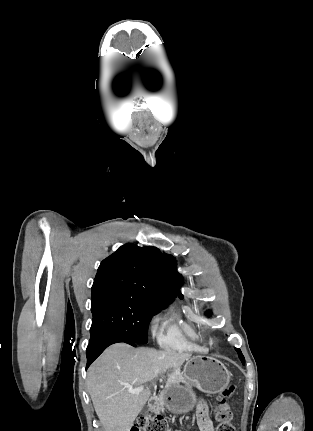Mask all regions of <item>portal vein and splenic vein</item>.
<instances>
[{
  "mask_svg": "<svg viewBox=\"0 0 313 431\" xmlns=\"http://www.w3.org/2000/svg\"><path fill=\"white\" fill-rule=\"evenodd\" d=\"M144 390V387H137V388H129L128 391L131 394H139L140 392H142Z\"/></svg>",
  "mask_w": 313,
  "mask_h": 431,
  "instance_id": "obj_1",
  "label": "portal vein and splenic vein"
}]
</instances>
